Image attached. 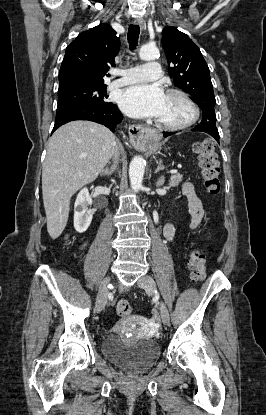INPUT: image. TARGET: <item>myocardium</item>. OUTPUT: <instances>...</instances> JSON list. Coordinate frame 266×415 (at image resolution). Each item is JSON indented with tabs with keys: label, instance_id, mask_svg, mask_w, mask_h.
<instances>
[{
	"label": "myocardium",
	"instance_id": "myocardium-1",
	"mask_svg": "<svg viewBox=\"0 0 266 415\" xmlns=\"http://www.w3.org/2000/svg\"><path fill=\"white\" fill-rule=\"evenodd\" d=\"M167 96H173L181 99L190 108L191 117L187 121L180 124H168L157 120L156 124L158 127L169 131H179L187 129L197 122L200 116L199 108L187 93L178 89H169L167 91Z\"/></svg>",
	"mask_w": 266,
	"mask_h": 415
}]
</instances>
